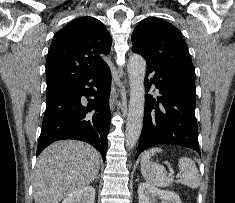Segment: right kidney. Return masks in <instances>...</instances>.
I'll return each instance as SVG.
<instances>
[{
	"mask_svg": "<svg viewBox=\"0 0 235 203\" xmlns=\"http://www.w3.org/2000/svg\"><path fill=\"white\" fill-rule=\"evenodd\" d=\"M95 188L85 186L71 194H69L62 203H94Z\"/></svg>",
	"mask_w": 235,
	"mask_h": 203,
	"instance_id": "1",
	"label": "right kidney"
}]
</instances>
